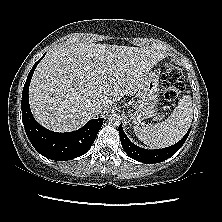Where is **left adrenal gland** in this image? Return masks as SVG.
Masks as SVG:
<instances>
[{
    "label": "left adrenal gland",
    "mask_w": 222,
    "mask_h": 222,
    "mask_svg": "<svg viewBox=\"0 0 222 222\" xmlns=\"http://www.w3.org/2000/svg\"><path fill=\"white\" fill-rule=\"evenodd\" d=\"M129 125H131V121H129Z\"/></svg>",
    "instance_id": "a2214340"
}]
</instances>
